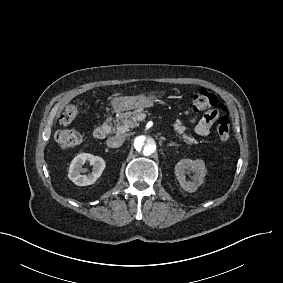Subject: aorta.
<instances>
[{"instance_id":"762f6f07","label":"aorta","mask_w":283,"mask_h":283,"mask_svg":"<svg viewBox=\"0 0 283 283\" xmlns=\"http://www.w3.org/2000/svg\"><path fill=\"white\" fill-rule=\"evenodd\" d=\"M159 150L158 139L150 133L137 134L131 144L132 153L140 159L155 158Z\"/></svg>"}]
</instances>
